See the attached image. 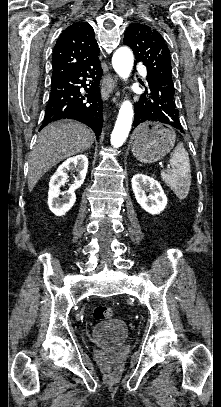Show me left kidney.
I'll return each instance as SVG.
<instances>
[{
  "label": "left kidney",
  "mask_w": 221,
  "mask_h": 407,
  "mask_svg": "<svg viewBox=\"0 0 221 407\" xmlns=\"http://www.w3.org/2000/svg\"><path fill=\"white\" fill-rule=\"evenodd\" d=\"M131 182L135 198L146 212L155 215L165 209L167 197L158 181L139 173L133 176Z\"/></svg>",
  "instance_id": "5707ae66"
}]
</instances>
